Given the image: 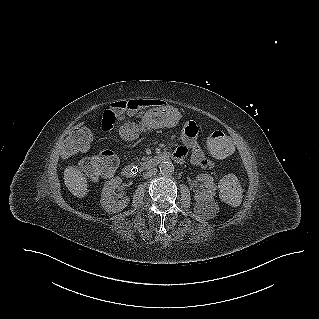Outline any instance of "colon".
Masks as SVG:
<instances>
[{
    "label": "colon",
    "instance_id": "obj_1",
    "mask_svg": "<svg viewBox=\"0 0 319 319\" xmlns=\"http://www.w3.org/2000/svg\"><path fill=\"white\" fill-rule=\"evenodd\" d=\"M152 109V108H151ZM150 109V110H151ZM142 138V125L139 122L127 124L113 136H106L97 143L98 155L90 158L83 166V172L87 177H107L116 169L117 156L113 151H119L122 146L135 145ZM90 140V132L81 128L73 132L66 140L63 153L71 156L85 149ZM207 150L210 158L216 162H225L233 154L234 145L232 140L221 132H213L208 138ZM222 198L230 203L240 200L242 188L240 181L233 175H226L220 183Z\"/></svg>",
    "mask_w": 319,
    "mask_h": 319
}]
</instances>
